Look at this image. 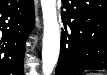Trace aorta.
<instances>
[{"instance_id":"1","label":"aorta","mask_w":107,"mask_h":75,"mask_svg":"<svg viewBox=\"0 0 107 75\" xmlns=\"http://www.w3.org/2000/svg\"><path fill=\"white\" fill-rule=\"evenodd\" d=\"M44 36L42 48V72L50 75L58 61L60 28L57 19L56 0H41Z\"/></svg>"}]
</instances>
